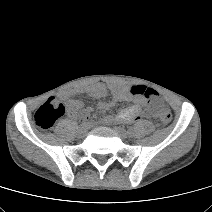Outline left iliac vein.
Masks as SVG:
<instances>
[{"instance_id": "left-iliac-vein-1", "label": "left iliac vein", "mask_w": 212, "mask_h": 212, "mask_svg": "<svg viewBox=\"0 0 212 212\" xmlns=\"http://www.w3.org/2000/svg\"><path fill=\"white\" fill-rule=\"evenodd\" d=\"M115 131L118 133V135L122 138V139H127L130 137L129 132H127L124 128L117 126L115 127Z\"/></svg>"}]
</instances>
